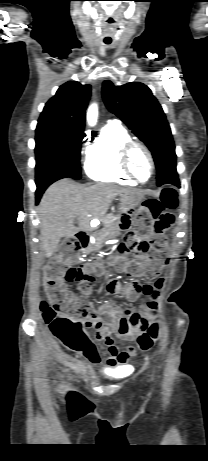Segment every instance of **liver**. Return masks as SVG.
Instances as JSON below:
<instances>
[{
    "instance_id": "1",
    "label": "liver",
    "mask_w": 208,
    "mask_h": 461,
    "mask_svg": "<svg viewBox=\"0 0 208 461\" xmlns=\"http://www.w3.org/2000/svg\"><path fill=\"white\" fill-rule=\"evenodd\" d=\"M135 192L112 184L84 186L69 179L52 184L39 204L40 241L46 257L55 253L62 237L91 230L92 220L103 221L116 196Z\"/></svg>"
}]
</instances>
